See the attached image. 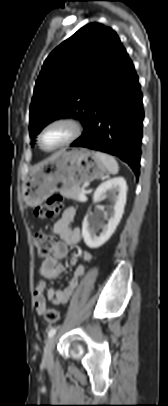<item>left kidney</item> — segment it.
Masks as SVG:
<instances>
[{
	"label": "left kidney",
	"instance_id": "obj_1",
	"mask_svg": "<svg viewBox=\"0 0 168 406\" xmlns=\"http://www.w3.org/2000/svg\"><path fill=\"white\" fill-rule=\"evenodd\" d=\"M126 193L127 185L123 177L109 179L96 189L93 196L94 202H97L102 196H109L113 205L110 206L109 211L106 213L109 216L108 224L106 225L95 218L89 219L88 214L85 216L82 223V236L89 248L96 249L102 246L115 232L124 213ZM98 228L102 229V233L99 236L96 235Z\"/></svg>",
	"mask_w": 168,
	"mask_h": 406
}]
</instances>
